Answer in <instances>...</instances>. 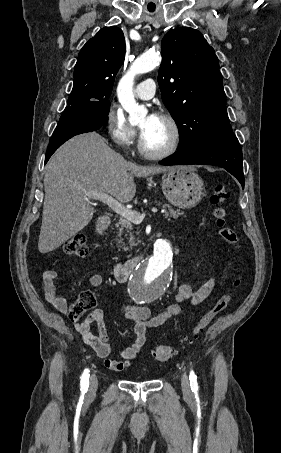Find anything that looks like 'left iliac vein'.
<instances>
[{
  "instance_id": "4c4485c4",
  "label": "left iliac vein",
  "mask_w": 281,
  "mask_h": 453,
  "mask_svg": "<svg viewBox=\"0 0 281 453\" xmlns=\"http://www.w3.org/2000/svg\"><path fill=\"white\" fill-rule=\"evenodd\" d=\"M181 387H182V390H183V393L184 395H191L192 393V390H191V387H190V382L188 380V376L187 374L184 372L181 376Z\"/></svg>"
}]
</instances>
